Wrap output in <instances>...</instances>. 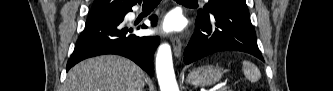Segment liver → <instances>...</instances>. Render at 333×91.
Instances as JSON below:
<instances>
[{"label": "liver", "instance_id": "obj_1", "mask_svg": "<svg viewBox=\"0 0 333 91\" xmlns=\"http://www.w3.org/2000/svg\"><path fill=\"white\" fill-rule=\"evenodd\" d=\"M144 71L114 55L87 59L68 72L63 91H142Z\"/></svg>", "mask_w": 333, "mask_h": 91}]
</instances>
